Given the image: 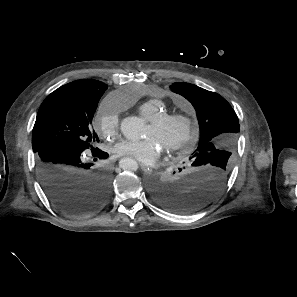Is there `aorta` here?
Masks as SVG:
<instances>
[{
  "instance_id": "1",
  "label": "aorta",
  "mask_w": 297,
  "mask_h": 297,
  "mask_svg": "<svg viewBox=\"0 0 297 297\" xmlns=\"http://www.w3.org/2000/svg\"><path fill=\"white\" fill-rule=\"evenodd\" d=\"M121 132L128 140H138L145 134V125L138 117H127L121 122ZM119 166L123 170L136 171L138 169L137 162L129 157L123 158L119 162Z\"/></svg>"
}]
</instances>
